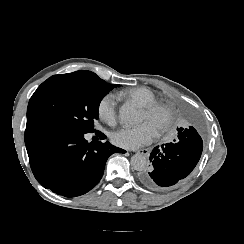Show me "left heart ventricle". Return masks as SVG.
I'll use <instances>...</instances> for the list:
<instances>
[{
    "label": "left heart ventricle",
    "instance_id": "1",
    "mask_svg": "<svg viewBox=\"0 0 244 244\" xmlns=\"http://www.w3.org/2000/svg\"><path fill=\"white\" fill-rule=\"evenodd\" d=\"M168 113L164 109L145 111L141 108L139 122L151 124L158 132H161L169 122Z\"/></svg>",
    "mask_w": 244,
    "mask_h": 244
}]
</instances>
